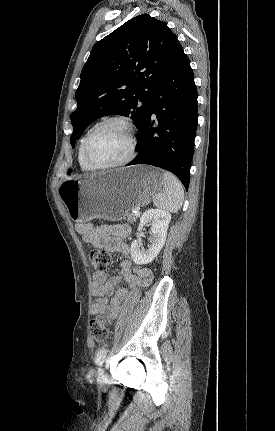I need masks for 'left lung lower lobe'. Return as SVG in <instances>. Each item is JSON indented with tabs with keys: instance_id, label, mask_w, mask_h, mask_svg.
<instances>
[{
	"instance_id": "obj_1",
	"label": "left lung lower lobe",
	"mask_w": 275,
	"mask_h": 431,
	"mask_svg": "<svg viewBox=\"0 0 275 431\" xmlns=\"http://www.w3.org/2000/svg\"><path fill=\"white\" fill-rule=\"evenodd\" d=\"M197 88L182 46L161 79L140 128L136 158L127 164H148L174 173L186 189L198 124Z\"/></svg>"
}]
</instances>
